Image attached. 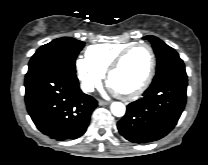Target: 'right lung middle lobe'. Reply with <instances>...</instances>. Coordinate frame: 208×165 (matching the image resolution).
<instances>
[{"label": "right lung middle lobe", "instance_id": "right-lung-middle-lobe-1", "mask_svg": "<svg viewBox=\"0 0 208 165\" xmlns=\"http://www.w3.org/2000/svg\"><path fill=\"white\" fill-rule=\"evenodd\" d=\"M83 46L84 42L70 37L58 38L41 46L32 56L26 75L48 65H60L75 73V59Z\"/></svg>", "mask_w": 208, "mask_h": 165}]
</instances>
